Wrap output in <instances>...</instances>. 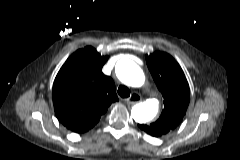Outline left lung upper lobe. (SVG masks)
Masks as SVG:
<instances>
[{
	"label": "left lung upper lobe",
	"instance_id": "1",
	"mask_svg": "<svg viewBox=\"0 0 240 160\" xmlns=\"http://www.w3.org/2000/svg\"><path fill=\"white\" fill-rule=\"evenodd\" d=\"M147 66L164 98L159 119L148 126L161 135L175 129L182 121L190 99L184 72L172 56L165 52L146 55Z\"/></svg>",
	"mask_w": 240,
	"mask_h": 160
}]
</instances>
